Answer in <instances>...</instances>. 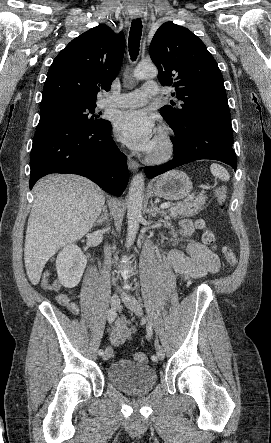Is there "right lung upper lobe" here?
<instances>
[{"mask_svg": "<svg viewBox=\"0 0 271 443\" xmlns=\"http://www.w3.org/2000/svg\"><path fill=\"white\" fill-rule=\"evenodd\" d=\"M125 37L99 25L73 39L47 73L42 101L76 99L95 103L100 87L109 90L124 56Z\"/></svg>", "mask_w": 271, "mask_h": 443, "instance_id": "obj_1", "label": "right lung upper lobe"}]
</instances>
